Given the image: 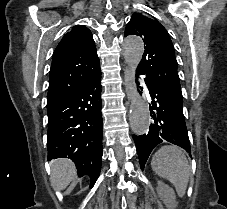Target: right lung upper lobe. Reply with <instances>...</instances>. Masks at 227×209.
<instances>
[{
	"label": "right lung upper lobe",
	"instance_id": "obj_1",
	"mask_svg": "<svg viewBox=\"0 0 227 209\" xmlns=\"http://www.w3.org/2000/svg\"><path fill=\"white\" fill-rule=\"evenodd\" d=\"M79 66L86 67L89 73L100 68L92 33L83 25L74 26L66 33L53 53L47 106L84 84L88 75L77 74L75 69Z\"/></svg>",
	"mask_w": 227,
	"mask_h": 209
}]
</instances>
